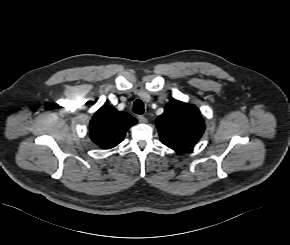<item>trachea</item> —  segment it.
Segmentation results:
<instances>
[{
	"label": "trachea",
	"mask_w": 290,
	"mask_h": 245,
	"mask_svg": "<svg viewBox=\"0 0 290 245\" xmlns=\"http://www.w3.org/2000/svg\"><path fill=\"white\" fill-rule=\"evenodd\" d=\"M133 111L136 114H143L144 113V104L141 100H136L133 105Z\"/></svg>",
	"instance_id": "obj_1"
}]
</instances>
